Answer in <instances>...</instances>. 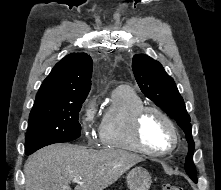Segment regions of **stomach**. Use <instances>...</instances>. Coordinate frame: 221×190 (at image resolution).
<instances>
[{"label":"stomach","instance_id":"stomach-1","mask_svg":"<svg viewBox=\"0 0 221 190\" xmlns=\"http://www.w3.org/2000/svg\"><path fill=\"white\" fill-rule=\"evenodd\" d=\"M151 183V175L142 167H135L127 174L129 190H149Z\"/></svg>","mask_w":221,"mask_h":190}]
</instances>
